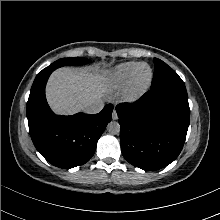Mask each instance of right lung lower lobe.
Segmentation results:
<instances>
[{
	"instance_id": "obj_1",
	"label": "right lung lower lobe",
	"mask_w": 220,
	"mask_h": 220,
	"mask_svg": "<svg viewBox=\"0 0 220 220\" xmlns=\"http://www.w3.org/2000/svg\"><path fill=\"white\" fill-rule=\"evenodd\" d=\"M52 71H41L33 82L27 102L29 132L36 149L48 162L69 169L85 164L93 156L111 120L113 105L93 115H55L45 98V85Z\"/></svg>"
}]
</instances>
